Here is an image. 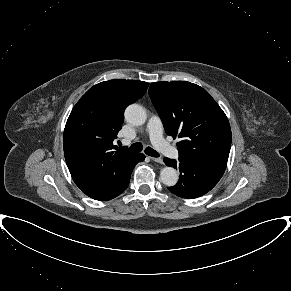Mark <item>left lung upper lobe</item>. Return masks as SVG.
<instances>
[{"label": "left lung upper lobe", "instance_id": "1", "mask_svg": "<svg viewBox=\"0 0 291 291\" xmlns=\"http://www.w3.org/2000/svg\"><path fill=\"white\" fill-rule=\"evenodd\" d=\"M149 95L168 135L177 143L179 156L226 161L231 147L229 121L211 95L186 82H154Z\"/></svg>", "mask_w": 291, "mask_h": 291}]
</instances>
